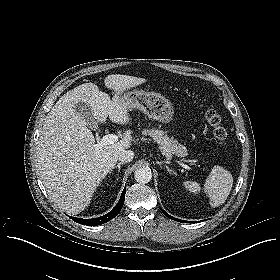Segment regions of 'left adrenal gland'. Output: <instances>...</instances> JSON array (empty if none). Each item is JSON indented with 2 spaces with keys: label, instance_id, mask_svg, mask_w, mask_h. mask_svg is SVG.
<instances>
[{
  "label": "left adrenal gland",
  "instance_id": "1",
  "mask_svg": "<svg viewBox=\"0 0 280 280\" xmlns=\"http://www.w3.org/2000/svg\"><path fill=\"white\" fill-rule=\"evenodd\" d=\"M159 165L162 166L163 164H162L161 162H159ZM163 167H165L166 170H167L169 173L176 174L172 169L169 168V166L163 165Z\"/></svg>",
  "mask_w": 280,
  "mask_h": 280
}]
</instances>
